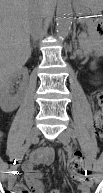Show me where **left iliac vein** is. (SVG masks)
Here are the masks:
<instances>
[{"mask_svg": "<svg viewBox=\"0 0 103 193\" xmlns=\"http://www.w3.org/2000/svg\"><path fill=\"white\" fill-rule=\"evenodd\" d=\"M58 140L63 144V145H68L70 142V135H69V130L63 131L62 133H60V135L58 136ZM89 186L93 185V181L92 179L89 180L88 182Z\"/></svg>", "mask_w": 103, "mask_h": 193, "instance_id": "left-iliac-vein-1", "label": "left iliac vein"}]
</instances>
